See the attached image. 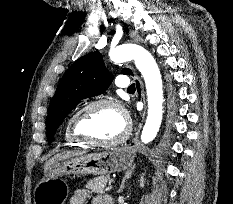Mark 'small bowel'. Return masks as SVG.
<instances>
[{
	"mask_svg": "<svg viewBox=\"0 0 233 204\" xmlns=\"http://www.w3.org/2000/svg\"><path fill=\"white\" fill-rule=\"evenodd\" d=\"M91 198L89 190L77 189L70 199V204H85ZM91 204H111V198L106 195H97L92 198Z\"/></svg>",
	"mask_w": 233,
	"mask_h": 204,
	"instance_id": "1",
	"label": "small bowel"
}]
</instances>
